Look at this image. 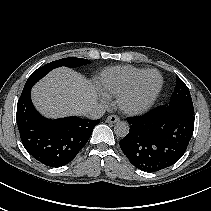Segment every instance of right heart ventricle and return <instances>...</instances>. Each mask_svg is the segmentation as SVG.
Listing matches in <instances>:
<instances>
[{"label":"right heart ventricle","instance_id":"right-heart-ventricle-1","mask_svg":"<svg viewBox=\"0 0 211 211\" xmlns=\"http://www.w3.org/2000/svg\"><path fill=\"white\" fill-rule=\"evenodd\" d=\"M145 71V69L133 66L108 68L102 72L99 78V84L105 93L119 96Z\"/></svg>","mask_w":211,"mask_h":211}]
</instances>
